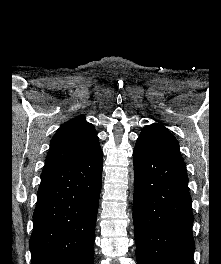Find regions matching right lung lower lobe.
<instances>
[{
    "instance_id": "98d812e1",
    "label": "right lung lower lobe",
    "mask_w": 221,
    "mask_h": 264,
    "mask_svg": "<svg viewBox=\"0 0 221 264\" xmlns=\"http://www.w3.org/2000/svg\"><path fill=\"white\" fill-rule=\"evenodd\" d=\"M102 152L41 174L30 238L32 264H93Z\"/></svg>"
}]
</instances>
